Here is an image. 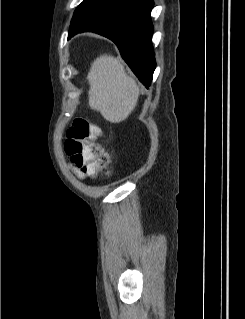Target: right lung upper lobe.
Wrapping results in <instances>:
<instances>
[{
  "label": "right lung upper lobe",
  "instance_id": "1",
  "mask_svg": "<svg viewBox=\"0 0 245 319\" xmlns=\"http://www.w3.org/2000/svg\"><path fill=\"white\" fill-rule=\"evenodd\" d=\"M81 5V4H80ZM80 5L78 6V8L76 9L74 16H73V23L71 22V26H70V30H69V34H72L74 32L79 31L80 29L90 25L92 23L91 22H84L82 21L83 18H85V15L83 13H81V9H80Z\"/></svg>",
  "mask_w": 245,
  "mask_h": 319
}]
</instances>
